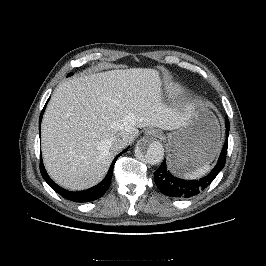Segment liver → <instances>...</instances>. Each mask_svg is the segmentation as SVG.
I'll list each match as a JSON object with an SVG mask.
<instances>
[{"label": "liver", "instance_id": "obj_1", "mask_svg": "<svg viewBox=\"0 0 266 266\" xmlns=\"http://www.w3.org/2000/svg\"><path fill=\"white\" fill-rule=\"evenodd\" d=\"M159 72L151 68L111 70L59 84L45 111L42 154L59 185L83 190L99 183L118 151L112 138L138 136V128L176 130L187 120L161 100Z\"/></svg>", "mask_w": 266, "mask_h": 266}]
</instances>
